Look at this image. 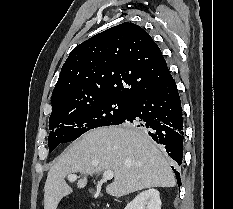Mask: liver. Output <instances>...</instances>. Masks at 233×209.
Returning a JSON list of instances; mask_svg holds the SVG:
<instances>
[{
  "label": "liver",
  "instance_id": "liver-1",
  "mask_svg": "<svg viewBox=\"0 0 233 209\" xmlns=\"http://www.w3.org/2000/svg\"><path fill=\"white\" fill-rule=\"evenodd\" d=\"M111 170L114 181L106 192L121 197L151 187H174L176 180L164 156L142 131L133 126H110L91 130L74 142L48 172L44 209H56L73 192L65 177ZM87 184L84 177L78 188Z\"/></svg>",
  "mask_w": 233,
  "mask_h": 209
}]
</instances>
